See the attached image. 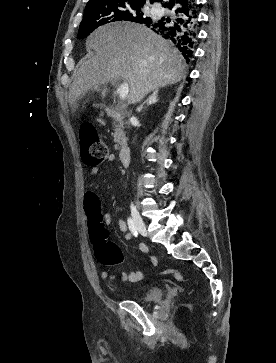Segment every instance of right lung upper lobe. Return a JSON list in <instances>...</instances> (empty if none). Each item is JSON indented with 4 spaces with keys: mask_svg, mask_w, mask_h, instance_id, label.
Wrapping results in <instances>:
<instances>
[{
    "mask_svg": "<svg viewBox=\"0 0 276 363\" xmlns=\"http://www.w3.org/2000/svg\"><path fill=\"white\" fill-rule=\"evenodd\" d=\"M102 1H110V0H89V2L87 3V6L97 3V2H102ZM121 1H133V2H140V3H145L146 0H121ZM153 2H162V0H150V3L152 4ZM149 18H146L143 20V22L145 20H148ZM142 22V23H143Z\"/></svg>",
    "mask_w": 276,
    "mask_h": 363,
    "instance_id": "right-lung-upper-lobe-1",
    "label": "right lung upper lobe"
}]
</instances>
